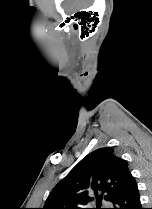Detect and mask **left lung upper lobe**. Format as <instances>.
I'll return each mask as SVG.
<instances>
[{
    "label": "left lung upper lobe",
    "mask_w": 152,
    "mask_h": 209,
    "mask_svg": "<svg viewBox=\"0 0 152 209\" xmlns=\"http://www.w3.org/2000/svg\"><path fill=\"white\" fill-rule=\"evenodd\" d=\"M130 176L128 163L117 157L113 148L97 149L85 156L54 187L43 209H86L94 196L96 209H101L102 198L112 202Z\"/></svg>",
    "instance_id": "left-lung-upper-lobe-1"
}]
</instances>
